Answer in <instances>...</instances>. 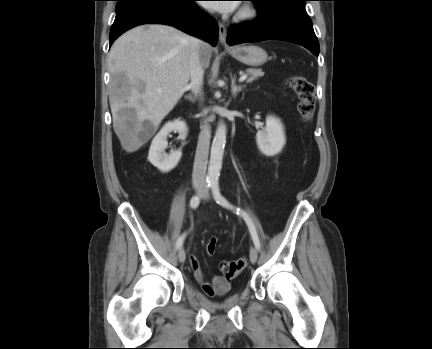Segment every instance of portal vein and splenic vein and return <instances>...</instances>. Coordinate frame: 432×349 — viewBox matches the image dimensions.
<instances>
[{
    "label": "portal vein and splenic vein",
    "mask_w": 432,
    "mask_h": 349,
    "mask_svg": "<svg viewBox=\"0 0 432 349\" xmlns=\"http://www.w3.org/2000/svg\"><path fill=\"white\" fill-rule=\"evenodd\" d=\"M246 79H247V75L244 74V75H242V76L239 78V82H243V81H245Z\"/></svg>",
    "instance_id": "18ae733b"
}]
</instances>
